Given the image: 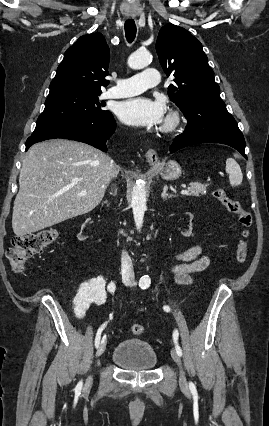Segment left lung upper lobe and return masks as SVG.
<instances>
[{
  "label": "left lung upper lobe",
  "mask_w": 269,
  "mask_h": 426,
  "mask_svg": "<svg viewBox=\"0 0 269 426\" xmlns=\"http://www.w3.org/2000/svg\"><path fill=\"white\" fill-rule=\"evenodd\" d=\"M156 51L166 75L175 76V85H169L168 95L182 112L200 101L222 102L202 44L190 32L174 24L163 26Z\"/></svg>",
  "instance_id": "5c2ea615"
}]
</instances>
